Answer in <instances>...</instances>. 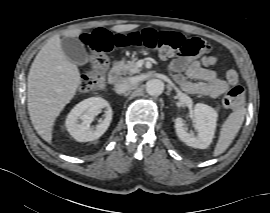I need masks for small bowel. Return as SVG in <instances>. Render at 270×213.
<instances>
[{
	"label": "small bowel",
	"mask_w": 270,
	"mask_h": 213,
	"mask_svg": "<svg viewBox=\"0 0 270 213\" xmlns=\"http://www.w3.org/2000/svg\"><path fill=\"white\" fill-rule=\"evenodd\" d=\"M216 61V57L211 54H203L199 60L179 55L172 60L169 73L183 90L217 98L227 91L229 85L211 69ZM189 79L198 82H191Z\"/></svg>",
	"instance_id": "1"
}]
</instances>
